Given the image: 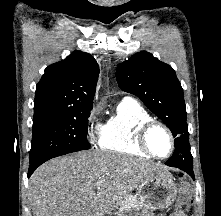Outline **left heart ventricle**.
<instances>
[{"label": "left heart ventricle", "mask_w": 221, "mask_h": 216, "mask_svg": "<svg viewBox=\"0 0 221 216\" xmlns=\"http://www.w3.org/2000/svg\"><path fill=\"white\" fill-rule=\"evenodd\" d=\"M148 144L157 155L161 156L167 155L171 148L169 137L161 128H154L150 132Z\"/></svg>", "instance_id": "b2bd125f"}]
</instances>
